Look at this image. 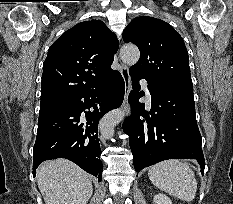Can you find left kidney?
<instances>
[{
  "label": "left kidney",
  "mask_w": 233,
  "mask_h": 204,
  "mask_svg": "<svg viewBox=\"0 0 233 204\" xmlns=\"http://www.w3.org/2000/svg\"><path fill=\"white\" fill-rule=\"evenodd\" d=\"M154 203L155 204H172V201L167 195L163 193H158L154 196Z\"/></svg>",
  "instance_id": "5707ae66"
}]
</instances>
